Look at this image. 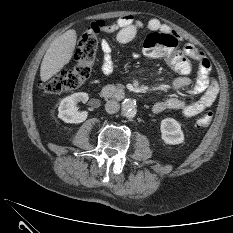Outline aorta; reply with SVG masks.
<instances>
[{
  "mask_svg": "<svg viewBox=\"0 0 233 233\" xmlns=\"http://www.w3.org/2000/svg\"><path fill=\"white\" fill-rule=\"evenodd\" d=\"M121 109L125 117L133 118L137 113L136 101L131 98H126L121 104Z\"/></svg>",
  "mask_w": 233,
  "mask_h": 233,
  "instance_id": "1",
  "label": "aorta"
}]
</instances>
